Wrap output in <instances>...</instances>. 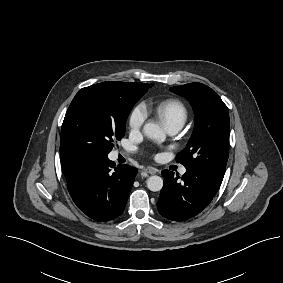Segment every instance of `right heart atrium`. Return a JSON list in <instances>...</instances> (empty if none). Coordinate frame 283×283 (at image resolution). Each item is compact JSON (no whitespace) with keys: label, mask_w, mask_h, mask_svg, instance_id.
Segmentation results:
<instances>
[{"label":"right heart atrium","mask_w":283,"mask_h":283,"mask_svg":"<svg viewBox=\"0 0 283 283\" xmlns=\"http://www.w3.org/2000/svg\"><path fill=\"white\" fill-rule=\"evenodd\" d=\"M147 114H146V109L143 105H137L135 106L130 115H129V119H128V125H129V129L132 133L138 132L145 120H146Z\"/></svg>","instance_id":"right-heart-atrium-1"}]
</instances>
